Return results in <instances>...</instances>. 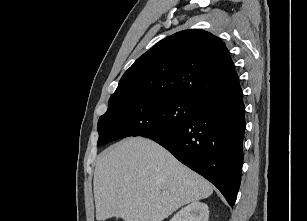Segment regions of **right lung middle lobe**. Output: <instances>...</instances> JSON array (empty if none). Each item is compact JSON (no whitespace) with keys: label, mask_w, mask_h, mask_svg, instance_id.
Segmentation results:
<instances>
[{"label":"right lung middle lobe","mask_w":307,"mask_h":221,"mask_svg":"<svg viewBox=\"0 0 307 221\" xmlns=\"http://www.w3.org/2000/svg\"><path fill=\"white\" fill-rule=\"evenodd\" d=\"M201 105L166 96H134L109 103L99 118L97 146L128 136L150 137L189 121Z\"/></svg>","instance_id":"1"}]
</instances>
